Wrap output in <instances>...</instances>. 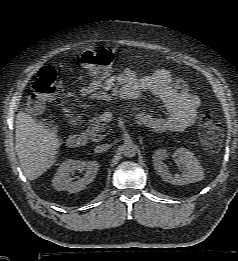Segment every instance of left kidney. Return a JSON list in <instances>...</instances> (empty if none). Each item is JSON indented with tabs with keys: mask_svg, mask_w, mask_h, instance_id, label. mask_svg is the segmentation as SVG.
Returning <instances> with one entry per match:
<instances>
[{
	"mask_svg": "<svg viewBox=\"0 0 238 261\" xmlns=\"http://www.w3.org/2000/svg\"><path fill=\"white\" fill-rule=\"evenodd\" d=\"M174 156L184 167L182 175H172L164 164L168 154L164 149H158L153 154V163L156 173L162 177L165 182L174 185H185L201 181L204 178L203 168L194 154L186 148H178L174 152Z\"/></svg>",
	"mask_w": 238,
	"mask_h": 261,
	"instance_id": "5707ae66",
	"label": "left kidney"
}]
</instances>
